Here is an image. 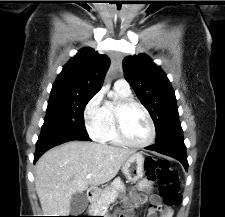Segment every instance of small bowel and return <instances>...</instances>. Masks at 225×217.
<instances>
[{"instance_id": "c3829d8e", "label": "small bowel", "mask_w": 225, "mask_h": 217, "mask_svg": "<svg viewBox=\"0 0 225 217\" xmlns=\"http://www.w3.org/2000/svg\"><path fill=\"white\" fill-rule=\"evenodd\" d=\"M151 186V182L147 179H143L138 183V188L140 190H144V189H148ZM147 200L146 197H137L135 199V204L136 206L141 205L142 203H144ZM160 209L161 210V216L160 217H172L173 216V211L171 208L165 207V206H161L159 204V200L156 196H153L151 198V206L149 208V217H156L155 211L156 209ZM132 206L128 207V210H131ZM121 217H127V216H121Z\"/></svg>"}]
</instances>
